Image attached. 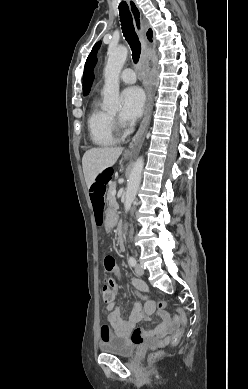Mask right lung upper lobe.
<instances>
[{
    "label": "right lung upper lobe",
    "mask_w": 248,
    "mask_h": 389,
    "mask_svg": "<svg viewBox=\"0 0 248 389\" xmlns=\"http://www.w3.org/2000/svg\"><path fill=\"white\" fill-rule=\"evenodd\" d=\"M147 38L149 41H152V30L151 29H149L147 32Z\"/></svg>",
    "instance_id": "cb5924a9"
}]
</instances>
